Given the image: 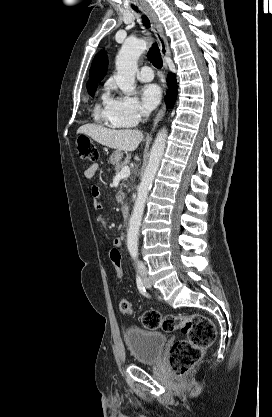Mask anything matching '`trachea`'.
<instances>
[{
    "label": "trachea",
    "mask_w": 272,
    "mask_h": 417,
    "mask_svg": "<svg viewBox=\"0 0 272 417\" xmlns=\"http://www.w3.org/2000/svg\"><path fill=\"white\" fill-rule=\"evenodd\" d=\"M134 9L137 10L135 7ZM142 22L145 26H150L149 19L145 15L142 16ZM147 57L156 68L160 69L162 67V58L156 43H153L152 47L149 49Z\"/></svg>",
    "instance_id": "trachea-1"
}]
</instances>
